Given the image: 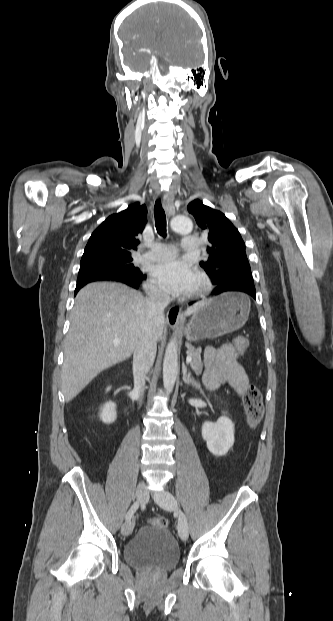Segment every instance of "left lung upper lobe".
Returning <instances> with one entry per match:
<instances>
[{"mask_svg":"<svg viewBox=\"0 0 333 621\" xmlns=\"http://www.w3.org/2000/svg\"><path fill=\"white\" fill-rule=\"evenodd\" d=\"M198 226L208 234V259L200 266L216 287L229 281L254 282L244 241L231 221L220 211L196 199L188 204Z\"/></svg>","mask_w":333,"mask_h":621,"instance_id":"left-lung-upper-lobe-1","label":"left lung upper lobe"}]
</instances>
